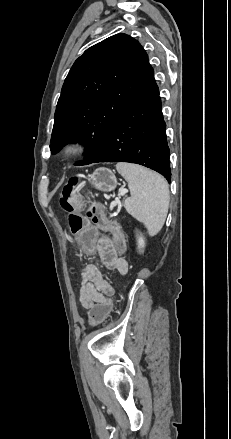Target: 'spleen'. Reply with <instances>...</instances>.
<instances>
[{
	"label": "spleen",
	"mask_w": 231,
	"mask_h": 439,
	"mask_svg": "<svg viewBox=\"0 0 231 439\" xmlns=\"http://www.w3.org/2000/svg\"><path fill=\"white\" fill-rule=\"evenodd\" d=\"M117 171L128 182L131 197L124 207L134 218L143 222L150 235L157 234L167 217L169 188L166 180L144 167L118 163Z\"/></svg>",
	"instance_id": "3e777b00"
}]
</instances>
